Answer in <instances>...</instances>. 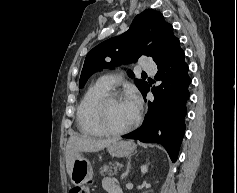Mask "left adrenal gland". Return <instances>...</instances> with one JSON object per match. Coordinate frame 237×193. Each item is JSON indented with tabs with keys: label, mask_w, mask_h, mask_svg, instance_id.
I'll list each match as a JSON object with an SVG mask.
<instances>
[{
	"label": "left adrenal gland",
	"mask_w": 237,
	"mask_h": 193,
	"mask_svg": "<svg viewBox=\"0 0 237 193\" xmlns=\"http://www.w3.org/2000/svg\"><path fill=\"white\" fill-rule=\"evenodd\" d=\"M130 168H131V158H129L126 171L122 174V179H124V178L127 177V175H128L129 172H130Z\"/></svg>",
	"instance_id": "obj_1"
}]
</instances>
